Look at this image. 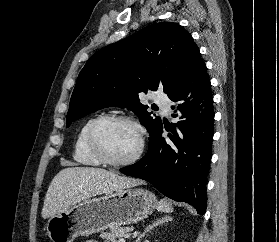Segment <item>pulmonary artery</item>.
Segmentation results:
<instances>
[{"mask_svg": "<svg viewBox=\"0 0 279 242\" xmlns=\"http://www.w3.org/2000/svg\"><path fill=\"white\" fill-rule=\"evenodd\" d=\"M154 101L165 111L166 114L170 113V100L165 94L157 92L154 96Z\"/></svg>", "mask_w": 279, "mask_h": 242, "instance_id": "pulmonary-artery-1", "label": "pulmonary artery"}]
</instances>
